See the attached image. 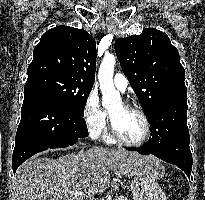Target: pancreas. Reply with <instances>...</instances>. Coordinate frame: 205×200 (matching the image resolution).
Listing matches in <instances>:
<instances>
[{
    "label": "pancreas",
    "mask_w": 205,
    "mask_h": 200,
    "mask_svg": "<svg viewBox=\"0 0 205 200\" xmlns=\"http://www.w3.org/2000/svg\"><path fill=\"white\" fill-rule=\"evenodd\" d=\"M115 200H128V199L125 198V197H122V198H118V199H115Z\"/></svg>",
    "instance_id": "cf45deb5"
}]
</instances>
